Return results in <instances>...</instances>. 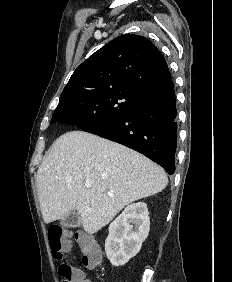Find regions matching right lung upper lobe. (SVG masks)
<instances>
[{
  "label": "right lung upper lobe",
  "instance_id": "1",
  "mask_svg": "<svg viewBox=\"0 0 232 282\" xmlns=\"http://www.w3.org/2000/svg\"><path fill=\"white\" fill-rule=\"evenodd\" d=\"M173 85L160 51L145 37L125 34L112 40L80 64L60 101L111 89H126L145 98Z\"/></svg>",
  "mask_w": 232,
  "mask_h": 282
}]
</instances>
